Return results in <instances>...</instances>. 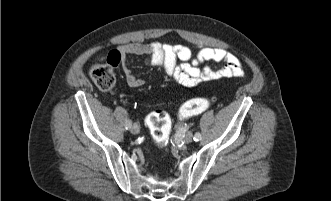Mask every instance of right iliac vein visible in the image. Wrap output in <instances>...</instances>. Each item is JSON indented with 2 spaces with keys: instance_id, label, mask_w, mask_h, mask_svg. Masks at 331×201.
Returning <instances> with one entry per match:
<instances>
[{
  "instance_id": "obj_1",
  "label": "right iliac vein",
  "mask_w": 331,
  "mask_h": 201,
  "mask_svg": "<svg viewBox=\"0 0 331 201\" xmlns=\"http://www.w3.org/2000/svg\"><path fill=\"white\" fill-rule=\"evenodd\" d=\"M130 131L132 134H138L140 132V128L137 124L131 126Z\"/></svg>"
}]
</instances>
